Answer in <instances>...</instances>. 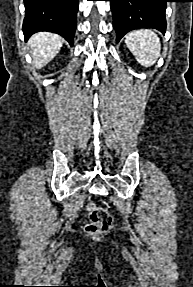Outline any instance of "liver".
I'll list each match as a JSON object with an SVG mask.
<instances>
[{
  "mask_svg": "<svg viewBox=\"0 0 193 287\" xmlns=\"http://www.w3.org/2000/svg\"><path fill=\"white\" fill-rule=\"evenodd\" d=\"M64 39L54 33L39 32L34 34L28 44L30 54L36 68H42L48 64L60 51Z\"/></svg>",
  "mask_w": 193,
  "mask_h": 287,
  "instance_id": "liver-1",
  "label": "liver"
}]
</instances>
